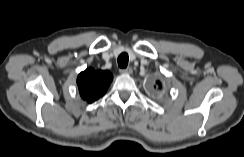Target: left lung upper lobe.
Listing matches in <instances>:
<instances>
[{"instance_id":"left-lung-upper-lobe-1","label":"left lung upper lobe","mask_w":244,"mask_h":157,"mask_svg":"<svg viewBox=\"0 0 244 157\" xmlns=\"http://www.w3.org/2000/svg\"><path fill=\"white\" fill-rule=\"evenodd\" d=\"M159 87L161 88V84L158 82Z\"/></svg>"}]
</instances>
